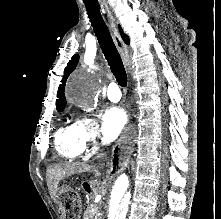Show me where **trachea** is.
Listing matches in <instances>:
<instances>
[{"mask_svg":"<svg viewBox=\"0 0 221 219\" xmlns=\"http://www.w3.org/2000/svg\"><path fill=\"white\" fill-rule=\"evenodd\" d=\"M86 10L100 48L115 76L118 84L122 87L127 85V74L121 56L113 42L110 32L101 16L98 2L85 3Z\"/></svg>","mask_w":221,"mask_h":219,"instance_id":"1","label":"trachea"}]
</instances>
